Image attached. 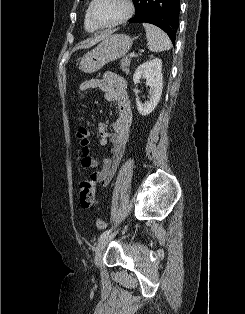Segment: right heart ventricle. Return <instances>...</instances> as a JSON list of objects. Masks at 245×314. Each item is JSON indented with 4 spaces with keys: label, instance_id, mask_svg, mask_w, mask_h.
I'll list each match as a JSON object with an SVG mask.
<instances>
[{
    "label": "right heart ventricle",
    "instance_id": "obj_1",
    "mask_svg": "<svg viewBox=\"0 0 245 314\" xmlns=\"http://www.w3.org/2000/svg\"><path fill=\"white\" fill-rule=\"evenodd\" d=\"M84 27H85V30L90 33L95 32L98 29L90 21L89 16H88V10L86 11L85 17H84Z\"/></svg>",
    "mask_w": 245,
    "mask_h": 314
}]
</instances>
